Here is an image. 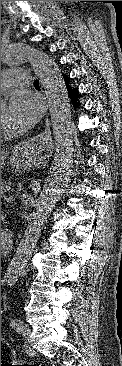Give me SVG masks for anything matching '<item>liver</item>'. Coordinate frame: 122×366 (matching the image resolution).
<instances>
[{
	"label": "liver",
	"instance_id": "1",
	"mask_svg": "<svg viewBox=\"0 0 122 366\" xmlns=\"http://www.w3.org/2000/svg\"><path fill=\"white\" fill-rule=\"evenodd\" d=\"M7 157V153L5 151H1V168L3 167V165L5 164V159Z\"/></svg>",
	"mask_w": 122,
	"mask_h": 366
}]
</instances>
